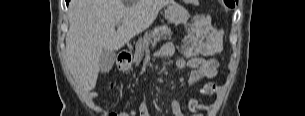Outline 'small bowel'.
<instances>
[{
    "label": "small bowel",
    "instance_id": "1",
    "mask_svg": "<svg viewBox=\"0 0 305 116\" xmlns=\"http://www.w3.org/2000/svg\"><path fill=\"white\" fill-rule=\"evenodd\" d=\"M220 50L219 41L210 37L199 46L200 56H192L189 59H178L175 63L179 69L190 68V83L196 84L202 80H209L203 86V92L206 95H214L217 92V85L210 81L218 71V62L212 58ZM175 52L173 43L167 42L162 45L157 55L162 57H171ZM210 57V58H206ZM171 111L174 116H186L178 100L171 101ZM191 116H203V111L211 108L210 104L200 103L197 99L191 98L187 103ZM138 116H150L146 102H143L138 109Z\"/></svg>",
    "mask_w": 305,
    "mask_h": 116
}]
</instances>
